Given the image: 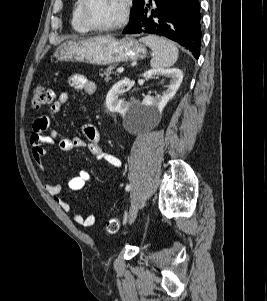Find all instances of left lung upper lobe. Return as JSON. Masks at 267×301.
Here are the masks:
<instances>
[{"mask_svg": "<svg viewBox=\"0 0 267 301\" xmlns=\"http://www.w3.org/2000/svg\"><path fill=\"white\" fill-rule=\"evenodd\" d=\"M144 4V0H133V8L130 11V19L132 20L134 17H136L137 13L141 9V7Z\"/></svg>", "mask_w": 267, "mask_h": 301, "instance_id": "1", "label": "left lung upper lobe"}]
</instances>
